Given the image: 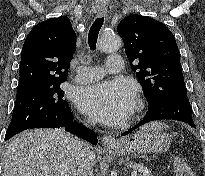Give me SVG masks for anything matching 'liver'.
<instances>
[{
	"mask_svg": "<svg viewBox=\"0 0 205 176\" xmlns=\"http://www.w3.org/2000/svg\"><path fill=\"white\" fill-rule=\"evenodd\" d=\"M75 140L58 129L24 131L6 145L2 176H76Z\"/></svg>",
	"mask_w": 205,
	"mask_h": 176,
	"instance_id": "liver-1",
	"label": "liver"
}]
</instances>
